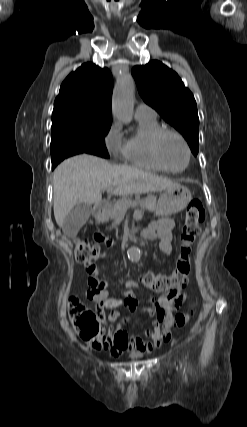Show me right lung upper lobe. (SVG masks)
I'll return each instance as SVG.
<instances>
[{
  "label": "right lung upper lobe",
  "mask_w": 247,
  "mask_h": 427,
  "mask_svg": "<svg viewBox=\"0 0 247 427\" xmlns=\"http://www.w3.org/2000/svg\"><path fill=\"white\" fill-rule=\"evenodd\" d=\"M113 80L107 68L85 63L63 81L53 114L77 112L93 119L109 120Z\"/></svg>",
  "instance_id": "obj_1"
}]
</instances>
